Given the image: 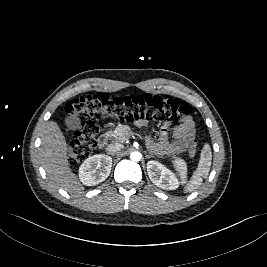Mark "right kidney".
<instances>
[{"mask_svg": "<svg viewBox=\"0 0 267 267\" xmlns=\"http://www.w3.org/2000/svg\"><path fill=\"white\" fill-rule=\"evenodd\" d=\"M112 158L105 154H97L87 158L79 168L80 181L86 186H94L103 182L110 174Z\"/></svg>", "mask_w": 267, "mask_h": 267, "instance_id": "obj_1", "label": "right kidney"}]
</instances>
